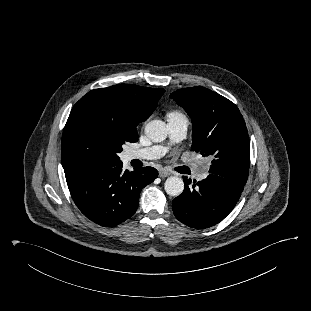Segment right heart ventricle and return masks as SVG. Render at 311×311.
<instances>
[{"label": "right heart ventricle", "mask_w": 311, "mask_h": 311, "mask_svg": "<svg viewBox=\"0 0 311 311\" xmlns=\"http://www.w3.org/2000/svg\"><path fill=\"white\" fill-rule=\"evenodd\" d=\"M187 119L186 116L179 110H172L167 113V120Z\"/></svg>", "instance_id": "obj_1"}]
</instances>
